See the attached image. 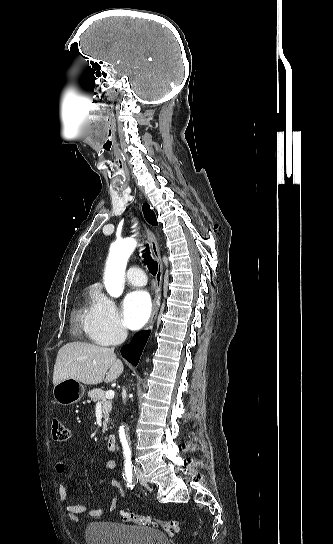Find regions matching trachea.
<instances>
[{
    "label": "trachea",
    "instance_id": "obj_1",
    "mask_svg": "<svg viewBox=\"0 0 333 544\" xmlns=\"http://www.w3.org/2000/svg\"><path fill=\"white\" fill-rule=\"evenodd\" d=\"M144 262L148 265L149 271L152 275H156L158 269V263L154 261L150 256L149 246L143 251Z\"/></svg>",
    "mask_w": 333,
    "mask_h": 544
}]
</instances>
